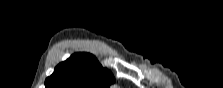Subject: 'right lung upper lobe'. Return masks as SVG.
Instances as JSON below:
<instances>
[{
    "instance_id": "cb5924a9",
    "label": "right lung upper lobe",
    "mask_w": 223,
    "mask_h": 88,
    "mask_svg": "<svg viewBox=\"0 0 223 88\" xmlns=\"http://www.w3.org/2000/svg\"><path fill=\"white\" fill-rule=\"evenodd\" d=\"M111 74L97 59L87 53L73 54L57 65L45 81L46 88H107Z\"/></svg>"
}]
</instances>
